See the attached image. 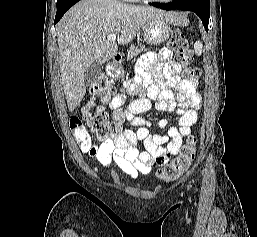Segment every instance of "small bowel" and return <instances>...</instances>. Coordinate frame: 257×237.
Instances as JSON below:
<instances>
[{
    "label": "small bowel",
    "instance_id": "1",
    "mask_svg": "<svg viewBox=\"0 0 257 237\" xmlns=\"http://www.w3.org/2000/svg\"><path fill=\"white\" fill-rule=\"evenodd\" d=\"M171 56L168 48L143 55L137 63L136 75L120 86L109 103L116 122H129L137 126V130L125 129L117 139L101 144L81 145L83 152L105 168L112 170L117 166L132 178L148 174L154 164H165L179 152L197 122L196 110L201 106V95L197 91L196 79H180L181 65L172 61ZM172 88L176 89V93ZM128 95L138 97L121 110ZM152 109L175 111L179 116L177 124L169 126L165 134L151 135L150 123L137 115ZM87 114L85 109V118ZM160 126L165 127L167 123L161 121ZM140 146L144 150H140Z\"/></svg>",
    "mask_w": 257,
    "mask_h": 237
}]
</instances>
